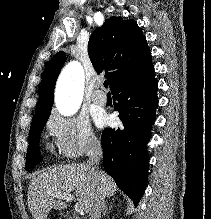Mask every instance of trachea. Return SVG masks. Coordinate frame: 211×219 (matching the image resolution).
Masks as SVG:
<instances>
[{"mask_svg":"<svg viewBox=\"0 0 211 219\" xmlns=\"http://www.w3.org/2000/svg\"><path fill=\"white\" fill-rule=\"evenodd\" d=\"M108 85H109L108 81H107V80H106V81H104V87H105V88H107V87H108Z\"/></svg>","mask_w":211,"mask_h":219,"instance_id":"1","label":"trachea"}]
</instances>
